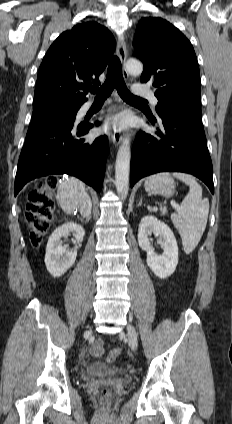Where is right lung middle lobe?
Returning <instances> with one entry per match:
<instances>
[{"instance_id":"obj_1","label":"right lung middle lobe","mask_w":232,"mask_h":424,"mask_svg":"<svg viewBox=\"0 0 232 424\" xmlns=\"http://www.w3.org/2000/svg\"><path fill=\"white\" fill-rule=\"evenodd\" d=\"M80 106H64V105H48L39 108H34L31 122H42L47 119L46 116L52 111H66L71 116H75V113L79 110Z\"/></svg>"}]
</instances>
